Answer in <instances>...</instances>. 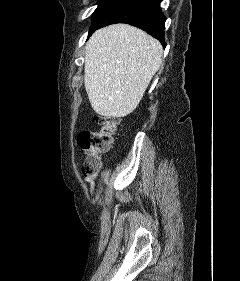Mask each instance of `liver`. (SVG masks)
<instances>
[{"label":"liver","mask_w":240,"mask_h":281,"mask_svg":"<svg viewBox=\"0 0 240 281\" xmlns=\"http://www.w3.org/2000/svg\"><path fill=\"white\" fill-rule=\"evenodd\" d=\"M160 42L127 24L97 30L85 48L84 85L93 110L120 118L140 103L162 64Z\"/></svg>","instance_id":"1"}]
</instances>
